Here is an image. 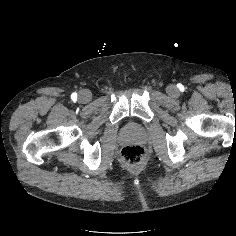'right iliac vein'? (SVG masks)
<instances>
[{
    "label": "right iliac vein",
    "mask_w": 236,
    "mask_h": 236,
    "mask_svg": "<svg viewBox=\"0 0 236 236\" xmlns=\"http://www.w3.org/2000/svg\"><path fill=\"white\" fill-rule=\"evenodd\" d=\"M91 100V93L88 90H82L78 94V101L80 103H88Z\"/></svg>",
    "instance_id": "right-iliac-vein-1"
}]
</instances>
